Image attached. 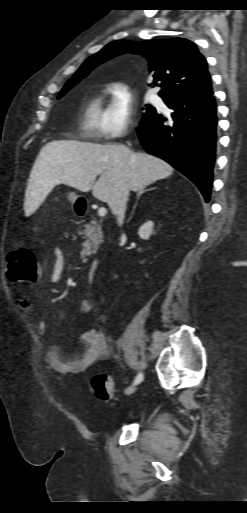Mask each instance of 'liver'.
I'll use <instances>...</instances> for the list:
<instances>
[{
  "instance_id": "1",
  "label": "liver",
  "mask_w": 247,
  "mask_h": 513,
  "mask_svg": "<svg viewBox=\"0 0 247 513\" xmlns=\"http://www.w3.org/2000/svg\"><path fill=\"white\" fill-rule=\"evenodd\" d=\"M172 172V166L160 158L133 152L124 145L52 141L41 149L31 170L24 211L26 215L36 211L59 184L81 192L92 190L93 196L106 202L112 210L123 186L140 191Z\"/></svg>"
}]
</instances>
